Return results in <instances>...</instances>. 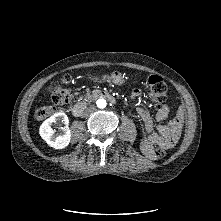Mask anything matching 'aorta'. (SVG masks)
<instances>
[{
    "label": "aorta",
    "instance_id": "aorta-1",
    "mask_svg": "<svg viewBox=\"0 0 221 221\" xmlns=\"http://www.w3.org/2000/svg\"><path fill=\"white\" fill-rule=\"evenodd\" d=\"M96 104H97V107H98V108L103 109V108L106 107L107 102H106L105 99H98L97 102H96Z\"/></svg>",
    "mask_w": 221,
    "mask_h": 221
}]
</instances>
